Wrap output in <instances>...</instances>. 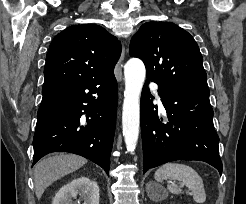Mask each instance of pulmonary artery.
<instances>
[{
  "instance_id": "1",
  "label": "pulmonary artery",
  "mask_w": 246,
  "mask_h": 204,
  "mask_svg": "<svg viewBox=\"0 0 246 204\" xmlns=\"http://www.w3.org/2000/svg\"><path fill=\"white\" fill-rule=\"evenodd\" d=\"M152 89L154 90L155 94H156V95H157V97H158V93H157V87H156V85H152Z\"/></svg>"
}]
</instances>
